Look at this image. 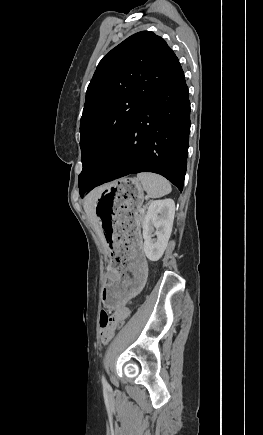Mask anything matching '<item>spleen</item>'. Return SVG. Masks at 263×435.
<instances>
[{"instance_id":"obj_1","label":"spleen","mask_w":263,"mask_h":435,"mask_svg":"<svg viewBox=\"0 0 263 435\" xmlns=\"http://www.w3.org/2000/svg\"><path fill=\"white\" fill-rule=\"evenodd\" d=\"M137 178L151 198L162 197L169 194L172 190L168 180L158 174L143 172L139 173Z\"/></svg>"}]
</instances>
